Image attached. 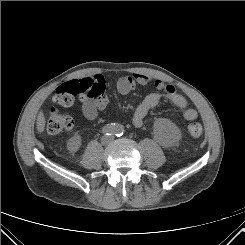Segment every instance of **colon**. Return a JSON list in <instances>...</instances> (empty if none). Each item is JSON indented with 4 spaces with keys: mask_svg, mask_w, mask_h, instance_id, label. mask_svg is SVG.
Masks as SVG:
<instances>
[{
    "mask_svg": "<svg viewBox=\"0 0 245 245\" xmlns=\"http://www.w3.org/2000/svg\"><path fill=\"white\" fill-rule=\"evenodd\" d=\"M96 94L93 83L89 80H72L60 85L54 96L53 101L63 107L71 106L77 99H85ZM73 118L64 112L54 108L50 111L47 123V130L51 135H58L71 129ZM187 131L192 137L202 135L203 128L198 122L188 124Z\"/></svg>",
    "mask_w": 245,
    "mask_h": 245,
    "instance_id": "1",
    "label": "colon"
}]
</instances>
